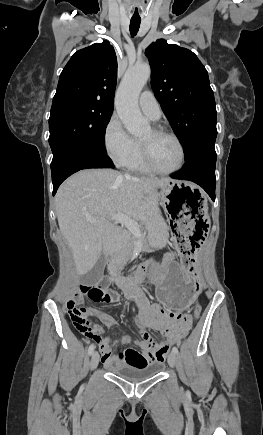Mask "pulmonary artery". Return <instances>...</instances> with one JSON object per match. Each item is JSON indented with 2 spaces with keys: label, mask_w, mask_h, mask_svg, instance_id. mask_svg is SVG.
Returning a JSON list of instances; mask_svg holds the SVG:
<instances>
[{
  "label": "pulmonary artery",
  "mask_w": 263,
  "mask_h": 435,
  "mask_svg": "<svg viewBox=\"0 0 263 435\" xmlns=\"http://www.w3.org/2000/svg\"><path fill=\"white\" fill-rule=\"evenodd\" d=\"M139 107L153 121H157L161 116L160 105L150 90H145L140 95Z\"/></svg>",
  "instance_id": "obj_1"
}]
</instances>
